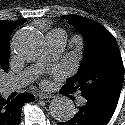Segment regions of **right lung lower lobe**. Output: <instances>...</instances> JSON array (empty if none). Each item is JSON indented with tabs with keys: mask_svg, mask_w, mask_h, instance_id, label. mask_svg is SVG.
Segmentation results:
<instances>
[{
	"mask_svg": "<svg viewBox=\"0 0 125 125\" xmlns=\"http://www.w3.org/2000/svg\"><path fill=\"white\" fill-rule=\"evenodd\" d=\"M33 101L35 97L30 93H20L13 99L0 96V125H19L22 106Z\"/></svg>",
	"mask_w": 125,
	"mask_h": 125,
	"instance_id": "98d812e1",
	"label": "right lung lower lobe"
}]
</instances>
